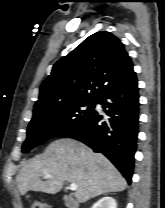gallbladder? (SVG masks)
<instances>
[{
  "label": "gallbladder",
  "instance_id": "bac80fb5",
  "mask_svg": "<svg viewBox=\"0 0 165 208\" xmlns=\"http://www.w3.org/2000/svg\"><path fill=\"white\" fill-rule=\"evenodd\" d=\"M64 203L68 208H73L75 202L70 197H64Z\"/></svg>",
  "mask_w": 165,
  "mask_h": 208
}]
</instances>
